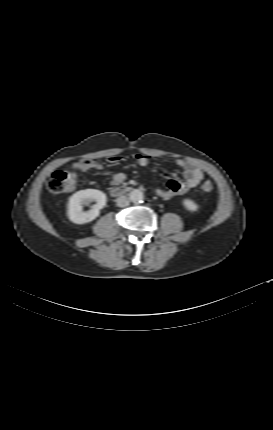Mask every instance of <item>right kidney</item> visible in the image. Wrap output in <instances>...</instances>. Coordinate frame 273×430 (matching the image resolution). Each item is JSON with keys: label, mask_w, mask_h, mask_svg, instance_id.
<instances>
[{"label": "right kidney", "mask_w": 273, "mask_h": 430, "mask_svg": "<svg viewBox=\"0 0 273 430\" xmlns=\"http://www.w3.org/2000/svg\"><path fill=\"white\" fill-rule=\"evenodd\" d=\"M90 201H96L92 209L83 211V205ZM106 205V195L96 189H85L73 194L68 203L67 215L70 221L75 224H85L96 219L100 214V209Z\"/></svg>", "instance_id": "ca27d5eb"}]
</instances>
